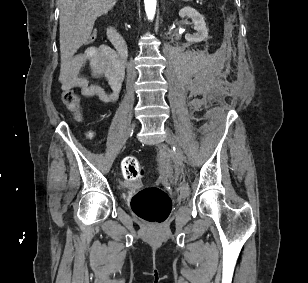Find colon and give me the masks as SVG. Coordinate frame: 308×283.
<instances>
[{"label": "colon", "instance_id": "1", "mask_svg": "<svg viewBox=\"0 0 308 283\" xmlns=\"http://www.w3.org/2000/svg\"><path fill=\"white\" fill-rule=\"evenodd\" d=\"M96 37V32H92L88 42L95 41ZM62 100L71 111H79L80 97L74 90L63 91ZM121 172L125 179L136 180L142 176L144 170L137 158L129 156L123 159ZM131 207L135 214L143 220L151 223H162L171 212L172 202L169 195L162 189L145 187L134 194Z\"/></svg>", "mask_w": 308, "mask_h": 283}]
</instances>
